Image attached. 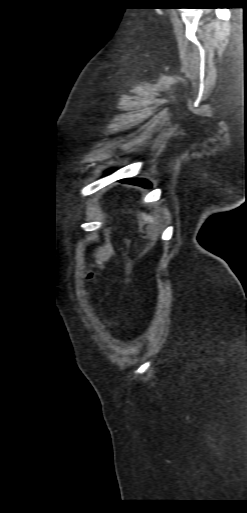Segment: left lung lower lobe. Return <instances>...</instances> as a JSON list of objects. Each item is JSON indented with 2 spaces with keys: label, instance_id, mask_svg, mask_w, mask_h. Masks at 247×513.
Returning <instances> with one entry per match:
<instances>
[{
  "label": "left lung lower lobe",
  "instance_id": "obj_1",
  "mask_svg": "<svg viewBox=\"0 0 247 513\" xmlns=\"http://www.w3.org/2000/svg\"><path fill=\"white\" fill-rule=\"evenodd\" d=\"M121 182L138 185V186H142L145 188H151V184L144 179L122 180Z\"/></svg>",
  "mask_w": 247,
  "mask_h": 513
}]
</instances>
